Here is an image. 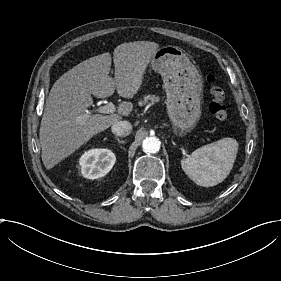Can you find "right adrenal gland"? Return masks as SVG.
<instances>
[{"instance_id": "1", "label": "right adrenal gland", "mask_w": 281, "mask_h": 281, "mask_svg": "<svg viewBox=\"0 0 281 281\" xmlns=\"http://www.w3.org/2000/svg\"><path fill=\"white\" fill-rule=\"evenodd\" d=\"M114 138H115V139L118 141V143H120V144H124V143H125L124 140H120V138L117 137V136H114Z\"/></svg>"}]
</instances>
